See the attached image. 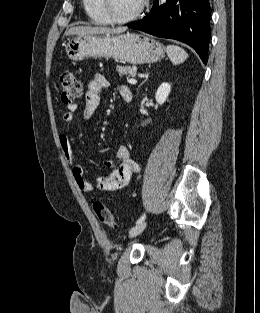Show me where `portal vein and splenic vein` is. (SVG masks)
Masks as SVG:
<instances>
[{"instance_id":"obj_1","label":"portal vein and splenic vein","mask_w":260,"mask_h":313,"mask_svg":"<svg viewBox=\"0 0 260 313\" xmlns=\"http://www.w3.org/2000/svg\"><path fill=\"white\" fill-rule=\"evenodd\" d=\"M127 82L130 83V84H136L137 83V81L135 79H133V78L128 79Z\"/></svg>"}]
</instances>
